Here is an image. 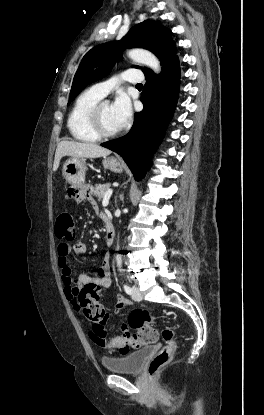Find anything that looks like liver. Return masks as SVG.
I'll use <instances>...</instances> for the list:
<instances>
[{
    "instance_id": "liver-1",
    "label": "liver",
    "mask_w": 264,
    "mask_h": 415,
    "mask_svg": "<svg viewBox=\"0 0 264 415\" xmlns=\"http://www.w3.org/2000/svg\"><path fill=\"white\" fill-rule=\"evenodd\" d=\"M111 153V150L93 143H81L76 141H61L57 145L53 171L59 167L60 160L64 156L98 158L105 157Z\"/></svg>"
}]
</instances>
